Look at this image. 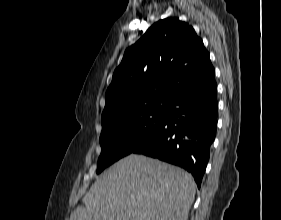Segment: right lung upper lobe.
Wrapping results in <instances>:
<instances>
[{
  "label": "right lung upper lobe",
  "mask_w": 281,
  "mask_h": 220,
  "mask_svg": "<svg viewBox=\"0 0 281 220\" xmlns=\"http://www.w3.org/2000/svg\"><path fill=\"white\" fill-rule=\"evenodd\" d=\"M202 39L177 18L154 23L126 49L106 92L102 127L123 116L168 109L181 96L215 83Z\"/></svg>",
  "instance_id": "1"
}]
</instances>
